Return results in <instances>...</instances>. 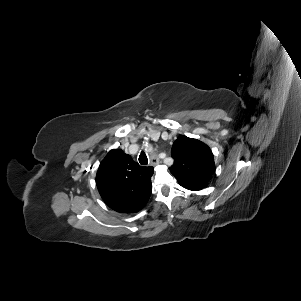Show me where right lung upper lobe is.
<instances>
[{
  "mask_svg": "<svg viewBox=\"0 0 301 301\" xmlns=\"http://www.w3.org/2000/svg\"><path fill=\"white\" fill-rule=\"evenodd\" d=\"M153 167L140 166L120 149L111 150L100 163L96 185L104 202L120 213H135L147 203Z\"/></svg>",
  "mask_w": 301,
  "mask_h": 301,
  "instance_id": "cb5924a9",
  "label": "right lung upper lobe"
}]
</instances>
